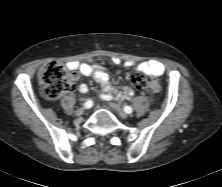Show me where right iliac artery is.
<instances>
[{"mask_svg":"<svg viewBox=\"0 0 222 187\" xmlns=\"http://www.w3.org/2000/svg\"><path fill=\"white\" fill-rule=\"evenodd\" d=\"M85 108L89 109L93 106V102L91 100H87L84 104Z\"/></svg>","mask_w":222,"mask_h":187,"instance_id":"82829eb1","label":"right iliac artery"}]
</instances>
